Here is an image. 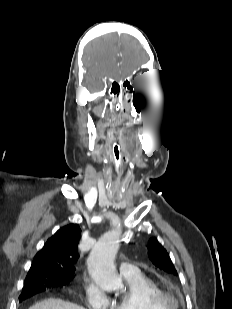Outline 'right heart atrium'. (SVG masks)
<instances>
[{"label":"right heart atrium","mask_w":232,"mask_h":309,"mask_svg":"<svg viewBox=\"0 0 232 309\" xmlns=\"http://www.w3.org/2000/svg\"><path fill=\"white\" fill-rule=\"evenodd\" d=\"M84 289L86 301L90 307L93 309H109L110 299L95 282L86 280Z\"/></svg>","instance_id":"1"}]
</instances>
